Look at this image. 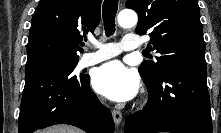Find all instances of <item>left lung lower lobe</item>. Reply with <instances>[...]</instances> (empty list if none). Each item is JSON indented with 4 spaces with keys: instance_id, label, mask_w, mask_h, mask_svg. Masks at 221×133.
<instances>
[{
    "instance_id": "obj_1",
    "label": "left lung lower lobe",
    "mask_w": 221,
    "mask_h": 133,
    "mask_svg": "<svg viewBox=\"0 0 221 133\" xmlns=\"http://www.w3.org/2000/svg\"><path fill=\"white\" fill-rule=\"evenodd\" d=\"M144 82L149 100L128 116L125 133H212L206 70L175 66Z\"/></svg>"
}]
</instances>
